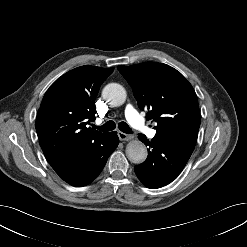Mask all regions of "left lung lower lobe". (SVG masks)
Returning <instances> with one entry per match:
<instances>
[{
	"mask_svg": "<svg viewBox=\"0 0 247 247\" xmlns=\"http://www.w3.org/2000/svg\"><path fill=\"white\" fill-rule=\"evenodd\" d=\"M148 149L145 162L134 167L139 180L148 188L156 189L172 182L183 170L195 144L183 140H164L154 137L151 141L138 136Z\"/></svg>",
	"mask_w": 247,
	"mask_h": 247,
	"instance_id": "left-lung-lower-lobe-1",
	"label": "left lung lower lobe"
}]
</instances>
